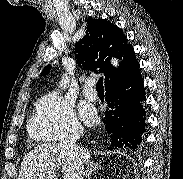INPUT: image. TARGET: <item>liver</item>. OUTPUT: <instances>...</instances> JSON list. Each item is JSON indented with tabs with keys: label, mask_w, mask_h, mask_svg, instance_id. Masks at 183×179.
I'll return each mask as SVG.
<instances>
[{
	"label": "liver",
	"mask_w": 183,
	"mask_h": 179,
	"mask_svg": "<svg viewBox=\"0 0 183 179\" xmlns=\"http://www.w3.org/2000/svg\"><path fill=\"white\" fill-rule=\"evenodd\" d=\"M82 161L90 164V151L78 147ZM62 166L64 179H75L74 159L56 143H44L32 149L24 158L18 179H57L54 173Z\"/></svg>",
	"instance_id": "obj_1"
}]
</instances>
